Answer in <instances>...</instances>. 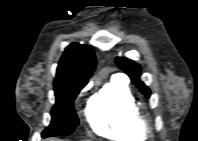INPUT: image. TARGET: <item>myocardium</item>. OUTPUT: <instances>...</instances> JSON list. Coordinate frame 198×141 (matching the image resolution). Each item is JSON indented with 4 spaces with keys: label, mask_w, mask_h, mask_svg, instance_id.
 <instances>
[{
    "label": "myocardium",
    "mask_w": 198,
    "mask_h": 141,
    "mask_svg": "<svg viewBox=\"0 0 198 141\" xmlns=\"http://www.w3.org/2000/svg\"><path fill=\"white\" fill-rule=\"evenodd\" d=\"M134 122L138 132L142 136H146V137L152 136V132H153L152 120L147 113L140 111L137 108L134 115Z\"/></svg>",
    "instance_id": "obj_1"
}]
</instances>
